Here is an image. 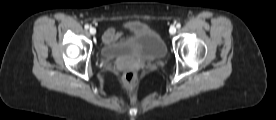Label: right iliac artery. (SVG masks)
<instances>
[{"instance_id":"82829eb1","label":"right iliac artery","mask_w":276,"mask_h":120,"mask_svg":"<svg viewBox=\"0 0 276 120\" xmlns=\"http://www.w3.org/2000/svg\"><path fill=\"white\" fill-rule=\"evenodd\" d=\"M84 28H85V29H88V28H89V25H88V24H86V25L84 26Z\"/></svg>"}]
</instances>
